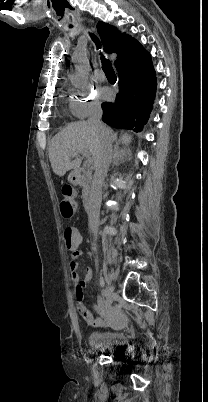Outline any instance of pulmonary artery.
<instances>
[{"label": "pulmonary artery", "mask_w": 208, "mask_h": 402, "mask_svg": "<svg viewBox=\"0 0 208 402\" xmlns=\"http://www.w3.org/2000/svg\"><path fill=\"white\" fill-rule=\"evenodd\" d=\"M95 73H96L97 76H104L105 73H106V70H105L104 67H97L96 70H95Z\"/></svg>", "instance_id": "pulmonary-artery-1"}]
</instances>
